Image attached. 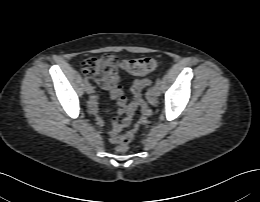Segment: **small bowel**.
<instances>
[{
	"label": "small bowel",
	"mask_w": 260,
	"mask_h": 202,
	"mask_svg": "<svg viewBox=\"0 0 260 202\" xmlns=\"http://www.w3.org/2000/svg\"><path fill=\"white\" fill-rule=\"evenodd\" d=\"M102 88L109 92L110 98L117 101V114L112 119L106 133L112 143H117L119 133L129 126L137 110V104L134 101L128 102L125 96V90L117 83V80H111L107 84H101ZM90 112L93 114L97 124L104 126V121L99 113L98 96L93 95L88 103Z\"/></svg>",
	"instance_id": "obj_1"
}]
</instances>
